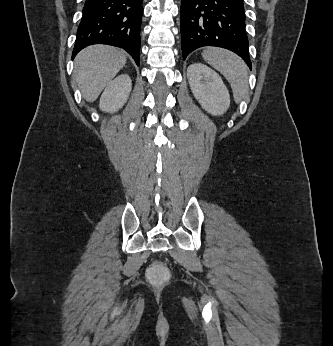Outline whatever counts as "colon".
<instances>
[{"label":"colon","mask_w":333,"mask_h":346,"mask_svg":"<svg viewBox=\"0 0 333 346\" xmlns=\"http://www.w3.org/2000/svg\"><path fill=\"white\" fill-rule=\"evenodd\" d=\"M150 269H146L145 274L150 283H153V288H168V280H171L172 275L167 269L166 264H160L161 258L154 257Z\"/></svg>","instance_id":"obj_1"}]
</instances>
